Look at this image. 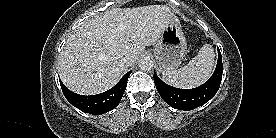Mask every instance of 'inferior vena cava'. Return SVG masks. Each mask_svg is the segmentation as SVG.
I'll return each mask as SVG.
<instances>
[{
  "label": "inferior vena cava",
  "instance_id": "inferior-vena-cava-1",
  "mask_svg": "<svg viewBox=\"0 0 276 138\" xmlns=\"http://www.w3.org/2000/svg\"><path fill=\"white\" fill-rule=\"evenodd\" d=\"M121 63L126 66H131L134 63V59L130 55L123 56L121 58Z\"/></svg>",
  "mask_w": 276,
  "mask_h": 138
}]
</instances>
